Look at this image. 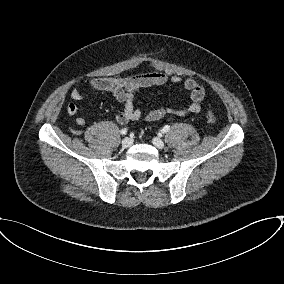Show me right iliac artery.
Segmentation results:
<instances>
[{"label": "right iliac artery", "mask_w": 284, "mask_h": 284, "mask_svg": "<svg viewBox=\"0 0 284 284\" xmlns=\"http://www.w3.org/2000/svg\"><path fill=\"white\" fill-rule=\"evenodd\" d=\"M120 133H121L122 135H125V134L127 133V129H126V128L121 129Z\"/></svg>", "instance_id": "1"}]
</instances>
